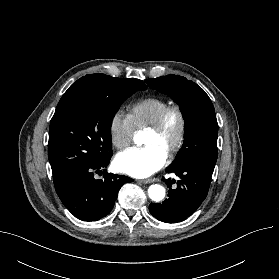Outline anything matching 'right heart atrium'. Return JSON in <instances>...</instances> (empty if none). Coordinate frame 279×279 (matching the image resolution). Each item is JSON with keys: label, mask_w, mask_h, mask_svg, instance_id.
Segmentation results:
<instances>
[{"label": "right heart atrium", "mask_w": 279, "mask_h": 279, "mask_svg": "<svg viewBox=\"0 0 279 279\" xmlns=\"http://www.w3.org/2000/svg\"><path fill=\"white\" fill-rule=\"evenodd\" d=\"M136 128L129 115L116 111L109 121V135L117 149H124L132 142Z\"/></svg>", "instance_id": "right-heart-atrium-1"}]
</instances>
